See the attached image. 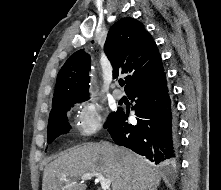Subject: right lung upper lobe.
Returning <instances> with one entry per match:
<instances>
[{
    "mask_svg": "<svg viewBox=\"0 0 221 190\" xmlns=\"http://www.w3.org/2000/svg\"><path fill=\"white\" fill-rule=\"evenodd\" d=\"M104 51L113 66V78L127 74L126 94L164 72L156 43L136 19L122 18L116 22L108 32ZM89 69L90 56L84 50L72 54L57 75L52 105L87 100Z\"/></svg>",
    "mask_w": 221,
    "mask_h": 190,
    "instance_id": "obj_1",
    "label": "right lung upper lobe"
}]
</instances>
